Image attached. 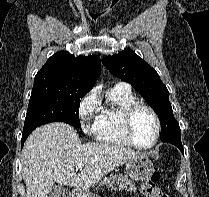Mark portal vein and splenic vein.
Wrapping results in <instances>:
<instances>
[{"mask_svg":"<svg viewBox=\"0 0 209 197\" xmlns=\"http://www.w3.org/2000/svg\"><path fill=\"white\" fill-rule=\"evenodd\" d=\"M82 167H83V163L81 162V163L78 164L77 168L82 169Z\"/></svg>","mask_w":209,"mask_h":197,"instance_id":"1","label":"portal vein and splenic vein"}]
</instances>
